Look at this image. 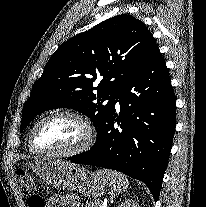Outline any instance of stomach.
<instances>
[{
  "label": "stomach",
  "mask_w": 206,
  "mask_h": 207,
  "mask_svg": "<svg viewBox=\"0 0 206 207\" xmlns=\"http://www.w3.org/2000/svg\"><path fill=\"white\" fill-rule=\"evenodd\" d=\"M28 166L47 184L88 197L98 198L111 188L107 180L80 165L43 158Z\"/></svg>",
  "instance_id": "0dacf381"
}]
</instances>
